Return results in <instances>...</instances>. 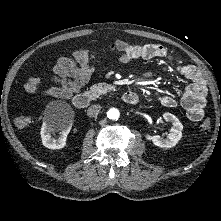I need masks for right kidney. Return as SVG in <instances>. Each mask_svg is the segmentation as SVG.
<instances>
[{"label":"right kidney","mask_w":221,"mask_h":221,"mask_svg":"<svg viewBox=\"0 0 221 221\" xmlns=\"http://www.w3.org/2000/svg\"><path fill=\"white\" fill-rule=\"evenodd\" d=\"M57 126L51 122H45L41 128L42 143L49 149H61L66 145V137L70 131V123L61 126V135L58 138H54L52 133Z\"/></svg>","instance_id":"obj_1"}]
</instances>
